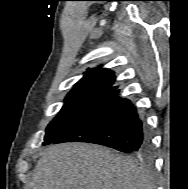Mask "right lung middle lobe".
<instances>
[{"label":"right lung middle lobe","instance_id":"obj_1","mask_svg":"<svg viewBox=\"0 0 188 189\" xmlns=\"http://www.w3.org/2000/svg\"><path fill=\"white\" fill-rule=\"evenodd\" d=\"M105 92L70 93L58 115L46 129L43 145H48L71 127L87 110L105 97Z\"/></svg>","mask_w":188,"mask_h":189}]
</instances>
